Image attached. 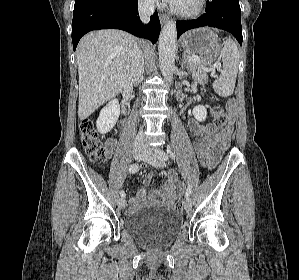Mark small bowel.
Returning <instances> with one entry per match:
<instances>
[{"label": "small bowel", "mask_w": 299, "mask_h": 280, "mask_svg": "<svg viewBox=\"0 0 299 280\" xmlns=\"http://www.w3.org/2000/svg\"><path fill=\"white\" fill-rule=\"evenodd\" d=\"M188 127L192 136L197 138L193 144L195 153L201 158L203 155H209L210 165L214 167L219 161L221 155L227 150L230 138L233 132V124L229 122L222 130L218 131L213 123L200 124L195 120H190ZM116 147V141L109 139L105 143V155L111 157ZM153 174L149 173L143 180L144 186L151 184ZM183 192V185L178 180L175 171H170L169 178L162 189H153L146 191L140 189L136 195L130 199L129 214L137 212L141 207L150 206H171Z\"/></svg>", "instance_id": "1"}]
</instances>
